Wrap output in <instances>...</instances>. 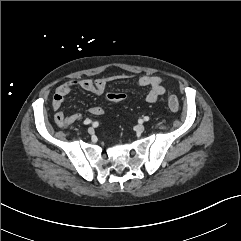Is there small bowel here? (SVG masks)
Wrapping results in <instances>:
<instances>
[{
	"label": "small bowel",
	"mask_w": 241,
	"mask_h": 241,
	"mask_svg": "<svg viewBox=\"0 0 241 241\" xmlns=\"http://www.w3.org/2000/svg\"><path fill=\"white\" fill-rule=\"evenodd\" d=\"M131 77L132 75L129 74H114L102 76L97 79L79 78L61 84L56 89L52 100V108L55 111V123L60 127H64L81 119V114L78 112L64 114L61 110L66 96L69 95L74 88L78 87L84 91L101 95L105 91L108 83L116 80L128 79ZM163 83V78L155 75H143L137 81V84L140 87L148 88V92L146 94V101L148 103H155L159 97L165 93ZM103 112L104 108L102 105H95L90 108V113L94 116H100L103 114Z\"/></svg>",
	"instance_id": "1"
}]
</instances>
